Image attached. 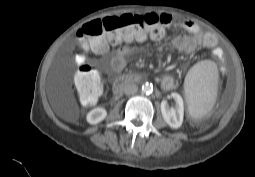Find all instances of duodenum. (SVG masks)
Returning <instances> with one entry per match:
<instances>
[{
    "label": "duodenum",
    "instance_id": "obj_1",
    "mask_svg": "<svg viewBox=\"0 0 255 177\" xmlns=\"http://www.w3.org/2000/svg\"><path fill=\"white\" fill-rule=\"evenodd\" d=\"M140 76L135 74H127L119 76L113 83V90L119 93L126 85L140 81Z\"/></svg>",
    "mask_w": 255,
    "mask_h": 177
}]
</instances>
